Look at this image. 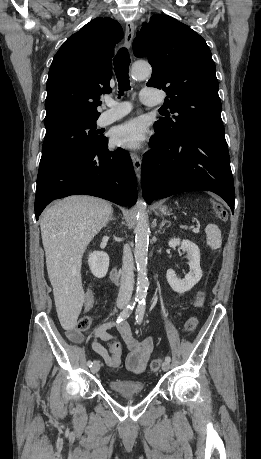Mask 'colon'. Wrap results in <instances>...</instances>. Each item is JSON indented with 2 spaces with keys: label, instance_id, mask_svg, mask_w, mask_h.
I'll return each mask as SVG.
<instances>
[{
  "label": "colon",
  "instance_id": "colon-1",
  "mask_svg": "<svg viewBox=\"0 0 261 459\" xmlns=\"http://www.w3.org/2000/svg\"><path fill=\"white\" fill-rule=\"evenodd\" d=\"M212 209L218 218L220 219L226 218V211L221 204L214 202L212 204ZM204 300H205L204 293L199 292L194 301V306L202 307L204 305ZM90 324H91V318L87 315H82L78 318L76 322L75 330L78 332L85 331L90 327ZM197 325H198V319L194 316H191L186 320L184 324V331L186 333H190L194 331ZM109 349H110L111 354L114 357L113 368H117L120 364V359H121V352H122L121 345L119 342L113 341L109 344ZM160 366H161V360L159 358L153 359L150 363V369L154 372L158 371L160 369Z\"/></svg>",
  "mask_w": 261,
  "mask_h": 459
}]
</instances>
